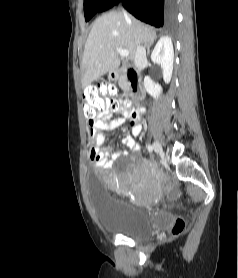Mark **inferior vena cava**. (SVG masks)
<instances>
[{"mask_svg":"<svg viewBox=\"0 0 238 278\" xmlns=\"http://www.w3.org/2000/svg\"><path fill=\"white\" fill-rule=\"evenodd\" d=\"M124 15L126 18H128V14L124 12ZM147 63V58H146V51L145 47H143L139 41H137V46L135 50V56H134V64L136 68L139 71H142Z\"/></svg>","mask_w":238,"mask_h":278,"instance_id":"inferior-vena-cava-1","label":"inferior vena cava"}]
</instances>
